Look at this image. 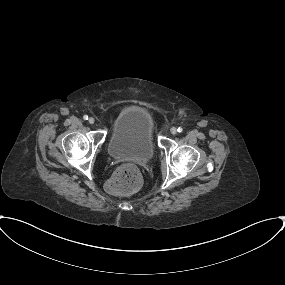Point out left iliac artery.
Returning a JSON list of instances; mask_svg holds the SVG:
<instances>
[{"label":"left iliac artery","instance_id":"left-iliac-artery-1","mask_svg":"<svg viewBox=\"0 0 285 285\" xmlns=\"http://www.w3.org/2000/svg\"><path fill=\"white\" fill-rule=\"evenodd\" d=\"M177 131H178L179 133H181V132L183 131L182 127H179V128L177 129Z\"/></svg>","mask_w":285,"mask_h":285}]
</instances>
